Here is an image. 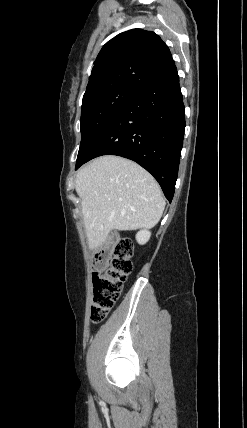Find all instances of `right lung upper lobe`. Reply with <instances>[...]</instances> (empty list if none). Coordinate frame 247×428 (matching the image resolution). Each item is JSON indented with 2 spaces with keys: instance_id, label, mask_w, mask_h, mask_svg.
Masks as SVG:
<instances>
[{
  "instance_id": "right-lung-upper-lobe-1",
  "label": "right lung upper lobe",
  "mask_w": 247,
  "mask_h": 428,
  "mask_svg": "<svg viewBox=\"0 0 247 428\" xmlns=\"http://www.w3.org/2000/svg\"><path fill=\"white\" fill-rule=\"evenodd\" d=\"M84 95L115 86L143 90L175 66L168 46L151 31L132 29L107 42Z\"/></svg>"
}]
</instances>
